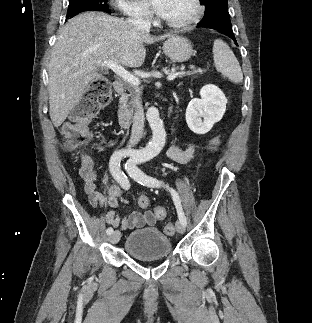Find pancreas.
<instances>
[{
	"mask_svg": "<svg viewBox=\"0 0 312 323\" xmlns=\"http://www.w3.org/2000/svg\"><path fill=\"white\" fill-rule=\"evenodd\" d=\"M178 78H181V76H178ZM130 94H124L121 98V102L124 106V108H127L129 112H133L135 106L138 104V100H140L139 96L141 94L139 88H132V90H128ZM129 96H131V100H128Z\"/></svg>",
	"mask_w": 312,
	"mask_h": 323,
	"instance_id": "pancreas-1",
	"label": "pancreas"
}]
</instances>
